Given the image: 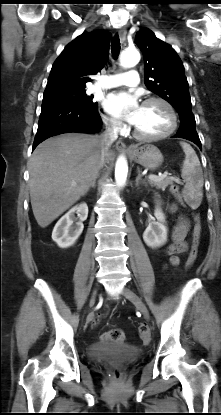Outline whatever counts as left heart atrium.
Segmentation results:
<instances>
[{"label": "left heart atrium", "mask_w": 221, "mask_h": 415, "mask_svg": "<svg viewBox=\"0 0 221 415\" xmlns=\"http://www.w3.org/2000/svg\"><path fill=\"white\" fill-rule=\"evenodd\" d=\"M105 107L115 117L122 118L131 124L137 122L141 108L137 97L127 93L109 95L105 101Z\"/></svg>", "instance_id": "39dd6f15"}]
</instances>
